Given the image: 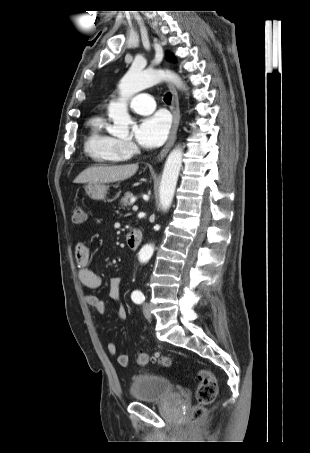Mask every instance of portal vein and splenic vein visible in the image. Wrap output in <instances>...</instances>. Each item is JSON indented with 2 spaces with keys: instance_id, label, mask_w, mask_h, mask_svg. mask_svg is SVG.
<instances>
[{
  "instance_id": "obj_1",
  "label": "portal vein and splenic vein",
  "mask_w": 310,
  "mask_h": 453,
  "mask_svg": "<svg viewBox=\"0 0 310 453\" xmlns=\"http://www.w3.org/2000/svg\"><path fill=\"white\" fill-rule=\"evenodd\" d=\"M134 211H137L138 210V206H133L132 208Z\"/></svg>"
}]
</instances>
